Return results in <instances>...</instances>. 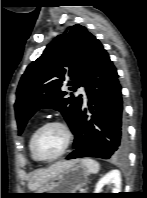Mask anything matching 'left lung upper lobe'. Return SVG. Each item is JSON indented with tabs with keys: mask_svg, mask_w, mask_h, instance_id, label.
I'll return each instance as SVG.
<instances>
[{
	"mask_svg": "<svg viewBox=\"0 0 147 198\" xmlns=\"http://www.w3.org/2000/svg\"><path fill=\"white\" fill-rule=\"evenodd\" d=\"M93 36L86 27L74 25L58 35L33 61L23 74L18 88L15 113L20 135L30 117L41 108L60 111L72 131L82 107V98H65L63 85L75 91L86 84L91 56ZM69 76L67 82L65 76Z\"/></svg>",
	"mask_w": 147,
	"mask_h": 198,
	"instance_id": "left-lung-upper-lobe-1",
	"label": "left lung upper lobe"
}]
</instances>
